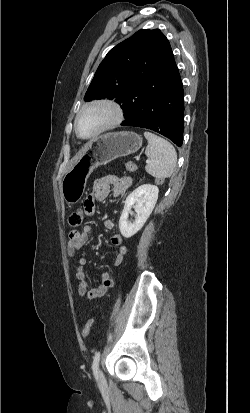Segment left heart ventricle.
Masks as SVG:
<instances>
[{"label":"left heart ventricle","instance_id":"1","mask_svg":"<svg viewBox=\"0 0 250 413\" xmlns=\"http://www.w3.org/2000/svg\"><path fill=\"white\" fill-rule=\"evenodd\" d=\"M111 117L112 112L106 107H92L85 110L78 121L80 134L83 136L93 134Z\"/></svg>","mask_w":250,"mask_h":413}]
</instances>
